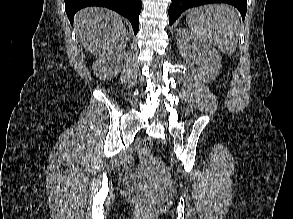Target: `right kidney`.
Listing matches in <instances>:
<instances>
[{
  "mask_svg": "<svg viewBox=\"0 0 293 219\" xmlns=\"http://www.w3.org/2000/svg\"><path fill=\"white\" fill-rule=\"evenodd\" d=\"M121 65V57L114 53L99 57L93 63L92 69L99 79L110 80L118 75Z\"/></svg>",
  "mask_w": 293,
  "mask_h": 219,
  "instance_id": "obj_1",
  "label": "right kidney"
}]
</instances>
